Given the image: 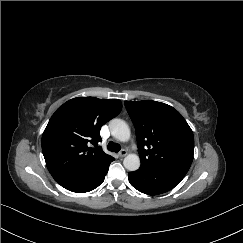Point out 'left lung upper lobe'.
Segmentation results:
<instances>
[{"label":"left lung upper lobe","mask_w":243,"mask_h":243,"mask_svg":"<svg viewBox=\"0 0 243 243\" xmlns=\"http://www.w3.org/2000/svg\"><path fill=\"white\" fill-rule=\"evenodd\" d=\"M135 125L141 158L139 169L170 164L191 165L194 136L182 115L157 101H125Z\"/></svg>","instance_id":"5c2ea615"}]
</instances>
